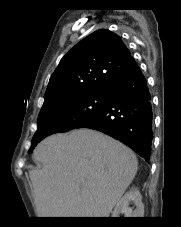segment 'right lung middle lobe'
<instances>
[{
    "mask_svg": "<svg viewBox=\"0 0 181 227\" xmlns=\"http://www.w3.org/2000/svg\"><path fill=\"white\" fill-rule=\"evenodd\" d=\"M109 89H103L73 98L58 101L41 109L38 116V129L29 149L51 134L82 128L106 105Z\"/></svg>",
    "mask_w": 181,
    "mask_h": 227,
    "instance_id": "dd1d6c3e",
    "label": "right lung middle lobe"
}]
</instances>
